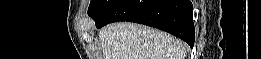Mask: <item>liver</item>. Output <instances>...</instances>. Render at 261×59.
<instances>
[{
    "label": "liver",
    "mask_w": 261,
    "mask_h": 59,
    "mask_svg": "<svg viewBox=\"0 0 261 59\" xmlns=\"http://www.w3.org/2000/svg\"><path fill=\"white\" fill-rule=\"evenodd\" d=\"M104 59H184L186 44L157 29L128 22L99 31Z\"/></svg>",
    "instance_id": "liver-1"
}]
</instances>
